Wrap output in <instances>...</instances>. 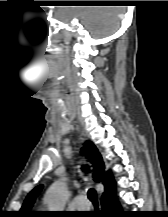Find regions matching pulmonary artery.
I'll return each mask as SVG.
<instances>
[{
	"instance_id": "1",
	"label": "pulmonary artery",
	"mask_w": 168,
	"mask_h": 217,
	"mask_svg": "<svg viewBox=\"0 0 168 217\" xmlns=\"http://www.w3.org/2000/svg\"><path fill=\"white\" fill-rule=\"evenodd\" d=\"M73 203L75 205V208L77 210H85L87 208H89L87 199L85 197V195L83 194H77L74 198H73Z\"/></svg>"
}]
</instances>
